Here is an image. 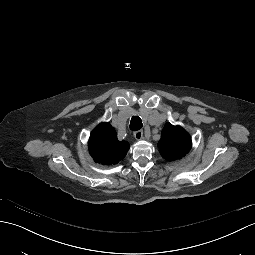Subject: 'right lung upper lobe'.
Here are the masks:
<instances>
[{
  "label": "right lung upper lobe",
  "instance_id": "obj_1",
  "mask_svg": "<svg viewBox=\"0 0 255 255\" xmlns=\"http://www.w3.org/2000/svg\"><path fill=\"white\" fill-rule=\"evenodd\" d=\"M89 152L95 162L101 164H117L129 149V143L119 141L115 129L110 123H100L91 133Z\"/></svg>",
  "mask_w": 255,
  "mask_h": 255
}]
</instances>
